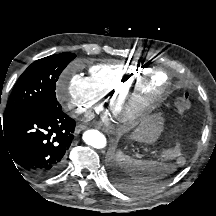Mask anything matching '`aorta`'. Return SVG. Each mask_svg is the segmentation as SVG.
<instances>
[{"label": "aorta", "instance_id": "1", "mask_svg": "<svg viewBox=\"0 0 216 216\" xmlns=\"http://www.w3.org/2000/svg\"><path fill=\"white\" fill-rule=\"evenodd\" d=\"M84 142L94 148L102 149L107 145L106 137L98 130L90 129L83 133Z\"/></svg>", "mask_w": 216, "mask_h": 216}]
</instances>
